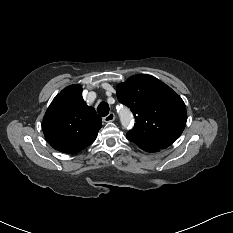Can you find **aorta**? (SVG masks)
Here are the masks:
<instances>
[{
  "label": "aorta",
  "instance_id": "1",
  "mask_svg": "<svg viewBox=\"0 0 233 233\" xmlns=\"http://www.w3.org/2000/svg\"><path fill=\"white\" fill-rule=\"evenodd\" d=\"M118 115L120 118V122L124 128H130L132 126L133 115L127 107L121 106L118 109Z\"/></svg>",
  "mask_w": 233,
  "mask_h": 233
}]
</instances>
